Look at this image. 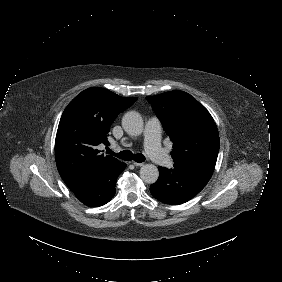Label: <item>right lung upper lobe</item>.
<instances>
[{
	"label": "right lung upper lobe",
	"mask_w": 282,
	"mask_h": 282,
	"mask_svg": "<svg viewBox=\"0 0 282 282\" xmlns=\"http://www.w3.org/2000/svg\"><path fill=\"white\" fill-rule=\"evenodd\" d=\"M136 100L104 88L91 87L65 108L56 134L55 159L63 181L72 192L93 175L122 163L110 155L99 154L96 146L108 144L111 124Z\"/></svg>",
	"instance_id": "cb5924a9"
}]
</instances>
